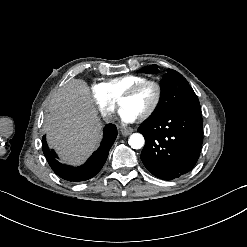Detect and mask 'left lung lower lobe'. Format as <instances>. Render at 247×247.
<instances>
[{
    "label": "left lung lower lobe",
    "instance_id": "left-lung-lower-lobe-1",
    "mask_svg": "<svg viewBox=\"0 0 247 247\" xmlns=\"http://www.w3.org/2000/svg\"><path fill=\"white\" fill-rule=\"evenodd\" d=\"M137 131L145 137L141 160L160 179L181 177L199 158L203 142L201 111L177 109L147 119Z\"/></svg>",
    "mask_w": 247,
    "mask_h": 247
}]
</instances>
